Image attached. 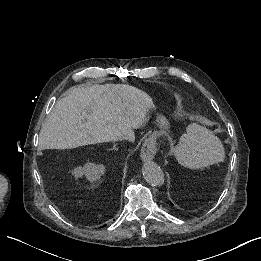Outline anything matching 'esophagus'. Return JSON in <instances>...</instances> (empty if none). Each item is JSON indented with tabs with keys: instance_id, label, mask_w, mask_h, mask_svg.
Instances as JSON below:
<instances>
[{
	"instance_id": "1",
	"label": "esophagus",
	"mask_w": 261,
	"mask_h": 261,
	"mask_svg": "<svg viewBox=\"0 0 261 261\" xmlns=\"http://www.w3.org/2000/svg\"><path fill=\"white\" fill-rule=\"evenodd\" d=\"M157 152L156 139L154 137H149L145 140L142 148L140 157L142 161H150L154 159Z\"/></svg>"
}]
</instances>
